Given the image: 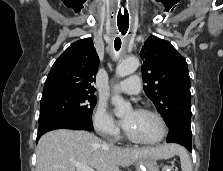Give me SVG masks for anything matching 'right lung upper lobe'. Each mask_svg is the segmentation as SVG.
Returning <instances> with one entry per match:
<instances>
[{
	"instance_id": "obj_1",
	"label": "right lung upper lobe",
	"mask_w": 223,
	"mask_h": 171,
	"mask_svg": "<svg viewBox=\"0 0 223 171\" xmlns=\"http://www.w3.org/2000/svg\"><path fill=\"white\" fill-rule=\"evenodd\" d=\"M99 58L91 38L71 44L53 64L42 98L68 92L93 93Z\"/></svg>"
}]
</instances>
